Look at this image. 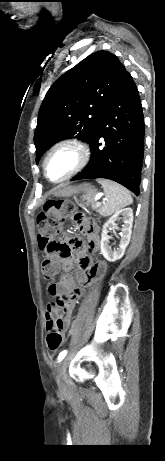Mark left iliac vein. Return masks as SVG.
<instances>
[{
  "label": "left iliac vein",
  "mask_w": 165,
  "mask_h": 461,
  "mask_svg": "<svg viewBox=\"0 0 165 461\" xmlns=\"http://www.w3.org/2000/svg\"><path fill=\"white\" fill-rule=\"evenodd\" d=\"M69 362H70V357L67 356L61 361V363L59 364V367H58L57 383H58L59 387L62 390H65L66 387H67V374H66V371H67V367L69 365Z\"/></svg>",
  "instance_id": "obj_1"
}]
</instances>
